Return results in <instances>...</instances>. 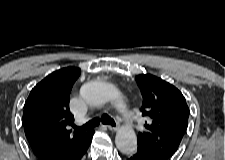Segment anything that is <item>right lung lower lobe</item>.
<instances>
[{
    "label": "right lung lower lobe",
    "instance_id": "right-lung-lower-lobe-1",
    "mask_svg": "<svg viewBox=\"0 0 225 160\" xmlns=\"http://www.w3.org/2000/svg\"><path fill=\"white\" fill-rule=\"evenodd\" d=\"M92 141V138L84 143L77 151L72 154H58L53 157L40 156L41 160H81L87 152V149Z\"/></svg>",
    "mask_w": 225,
    "mask_h": 160
}]
</instances>
